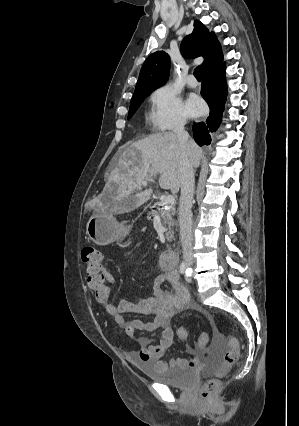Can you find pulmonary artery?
<instances>
[{"label":"pulmonary artery","instance_id":"e3ab8cb5","mask_svg":"<svg viewBox=\"0 0 299 426\" xmlns=\"http://www.w3.org/2000/svg\"><path fill=\"white\" fill-rule=\"evenodd\" d=\"M186 83L189 87H192V88L197 86V80L195 79L193 75L188 76Z\"/></svg>","mask_w":299,"mask_h":426}]
</instances>
